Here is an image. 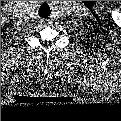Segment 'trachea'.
I'll return each mask as SVG.
<instances>
[{
    "label": "trachea",
    "instance_id": "1",
    "mask_svg": "<svg viewBox=\"0 0 121 121\" xmlns=\"http://www.w3.org/2000/svg\"><path fill=\"white\" fill-rule=\"evenodd\" d=\"M39 16L42 18L49 17L51 14V9L47 3H43L39 8Z\"/></svg>",
    "mask_w": 121,
    "mask_h": 121
}]
</instances>
